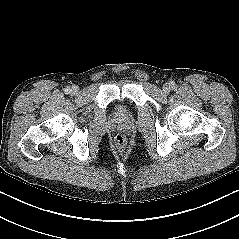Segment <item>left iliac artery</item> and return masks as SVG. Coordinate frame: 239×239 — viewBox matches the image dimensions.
Segmentation results:
<instances>
[{
	"instance_id": "left-iliac-artery-1",
	"label": "left iliac artery",
	"mask_w": 239,
	"mask_h": 239,
	"mask_svg": "<svg viewBox=\"0 0 239 239\" xmlns=\"http://www.w3.org/2000/svg\"><path fill=\"white\" fill-rule=\"evenodd\" d=\"M171 85H172V88H175V84L174 83H171Z\"/></svg>"
}]
</instances>
